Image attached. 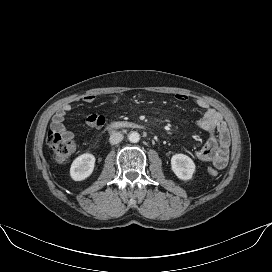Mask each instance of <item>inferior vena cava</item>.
Wrapping results in <instances>:
<instances>
[{"label":"inferior vena cava","mask_w":272,"mask_h":272,"mask_svg":"<svg viewBox=\"0 0 272 272\" xmlns=\"http://www.w3.org/2000/svg\"><path fill=\"white\" fill-rule=\"evenodd\" d=\"M123 140V135L120 132H113L110 135L109 141L111 144H118Z\"/></svg>","instance_id":"1"}]
</instances>
